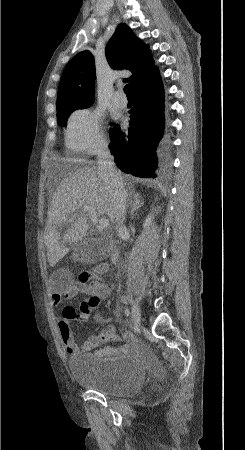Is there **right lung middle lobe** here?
<instances>
[{
    "label": "right lung middle lobe",
    "mask_w": 245,
    "mask_h": 450,
    "mask_svg": "<svg viewBox=\"0 0 245 450\" xmlns=\"http://www.w3.org/2000/svg\"><path fill=\"white\" fill-rule=\"evenodd\" d=\"M91 104L65 103L57 105V118L59 125H65L68 115L77 110L89 107Z\"/></svg>",
    "instance_id": "dd1d6c3e"
}]
</instances>
